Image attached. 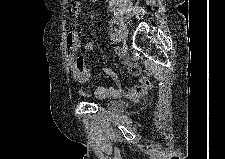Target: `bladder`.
Instances as JSON below:
<instances>
[{"mask_svg": "<svg viewBox=\"0 0 225 159\" xmlns=\"http://www.w3.org/2000/svg\"><path fill=\"white\" fill-rule=\"evenodd\" d=\"M110 110L118 112L124 109L125 104L122 99H107L102 101Z\"/></svg>", "mask_w": 225, "mask_h": 159, "instance_id": "bladder-1", "label": "bladder"}]
</instances>
